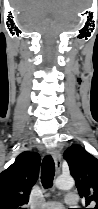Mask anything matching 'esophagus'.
Masks as SVG:
<instances>
[{"label":"esophagus","mask_w":98,"mask_h":209,"mask_svg":"<svg viewBox=\"0 0 98 209\" xmlns=\"http://www.w3.org/2000/svg\"><path fill=\"white\" fill-rule=\"evenodd\" d=\"M49 152L54 159L56 171L59 173L61 170V154H60L59 150H57L55 148L50 149Z\"/></svg>","instance_id":"obj_1"}]
</instances>
